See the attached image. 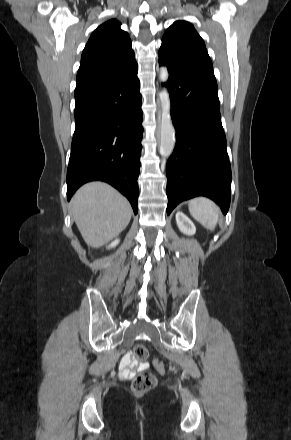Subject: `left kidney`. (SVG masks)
I'll use <instances>...</instances> for the list:
<instances>
[{
    "label": "left kidney",
    "instance_id": "left-kidney-1",
    "mask_svg": "<svg viewBox=\"0 0 291 440\" xmlns=\"http://www.w3.org/2000/svg\"><path fill=\"white\" fill-rule=\"evenodd\" d=\"M176 223L182 233L186 235H194L196 233L194 223L183 212L178 211L176 213Z\"/></svg>",
    "mask_w": 291,
    "mask_h": 440
}]
</instances>
